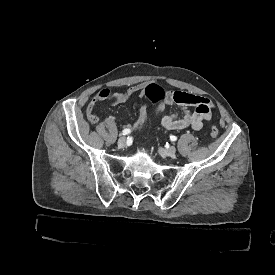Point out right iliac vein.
Masks as SVG:
<instances>
[{
  "instance_id": "right-iliac-vein-1",
  "label": "right iliac vein",
  "mask_w": 275,
  "mask_h": 275,
  "mask_svg": "<svg viewBox=\"0 0 275 275\" xmlns=\"http://www.w3.org/2000/svg\"><path fill=\"white\" fill-rule=\"evenodd\" d=\"M117 145L119 148H125L127 146V139L125 137L119 138Z\"/></svg>"
}]
</instances>
